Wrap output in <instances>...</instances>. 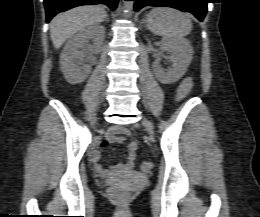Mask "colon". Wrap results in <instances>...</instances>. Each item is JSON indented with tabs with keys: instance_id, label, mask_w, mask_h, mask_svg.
<instances>
[{
	"instance_id": "5ec220e1",
	"label": "colon",
	"mask_w": 260,
	"mask_h": 217,
	"mask_svg": "<svg viewBox=\"0 0 260 217\" xmlns=\"http://www.w3.org/2000/svg\"><path fill=\"white\" fill-rule=\"evenodd\" d=\"M142 171L149 172L152 168L151 163L142 162L140 165ZM111 195L121 204H124L128 200V193L120 187H114L110 189Z\"/></svg>"
}]
</instances>
